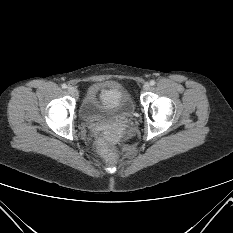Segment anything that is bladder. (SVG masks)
<instances>
[{
    "instance_id": "obj_1",
    "label": "bladder",
    "mask_w": 233,
    "mask_h": 233,
    "mask_svg": "<svg viewBox=\"0 0 233 233\" xmlns=\"http://www.w3.org/2000/svg\"><path fill=\"white\" fill-rule=\"evenodd\" d=\"M135 104L128 89L117 81L91 84L79 107V114L86 120H101L134 111Z\"/></svg>"
}]
</instances>
